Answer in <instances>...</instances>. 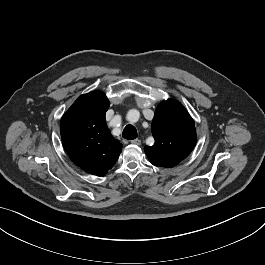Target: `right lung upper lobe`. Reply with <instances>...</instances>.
I'll use <instances>...</instances> for the list:
<instances>
[{"label":"right lung upper lobe","instance_id":"cb5924a9","mask_svg":"<svg viewBox=\"0 0 265 265\" xmlns=\"http://www.w3.org/2000/svg\"><path fill=\"white\" fill-rule=\"evenodd\" d=\"M106 95L92 91L81 95L63 115L60 132L70 159L87 173L104 176L122 151L106 125Z\"/></svg>","mask_w":265,"mask_h":265}]
</instances>
